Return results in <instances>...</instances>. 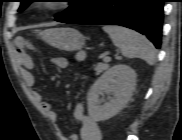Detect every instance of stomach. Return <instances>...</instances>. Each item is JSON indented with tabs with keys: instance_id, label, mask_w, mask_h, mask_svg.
I'll return each instance as SVG.
<instances>
[{
	"instance_id": "0dacf381",
	"label": "stomach",
	"mask_w": 182,
	"mask_h": 140,
	"mask_svg": "<svg viewBox=\"0 0 182 140\" xmlns=\"http://www.w3.org/2000/svg\"><path fill=\"white\" fill-rule=\"evenodd\" d=\"M40 36L47 44L63 51H78L85 44V37L80 32L67 27L46 29Z\"/></svg>"
}]
</instances>
